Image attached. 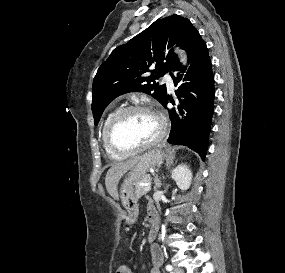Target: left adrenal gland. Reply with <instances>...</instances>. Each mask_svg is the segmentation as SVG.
<instances>
[{"label":"left adrenal gland","instance_id":"1","mask_svg":"<svg viewBox=\"0 0 285 273\" xmlns=\"http://www.w3.org/2000/svg\"><path fill=\"white\" fill-rule=\"evenodd\" d=\"M155 185H156L157 188H160V187H161L160 180L158 179L157 176H156V178H155Z\"/></svg>","mask_w":285,"mask_h":273}]
</instances>
